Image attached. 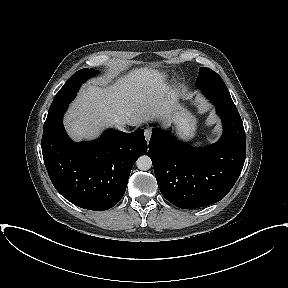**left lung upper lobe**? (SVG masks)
Wrapping results in <instances>:
<instances>
[{"label":"left lung upper lobe","instance_id":"1","mask_svg":"<svg viewBox=\"0 0 288 288\" xmlns=\"http://www.w3.org/2000/svg\"><path fill=\"white\" fill-rule=\"evenodd\" d=\"M196 84L202 89L208 99L235 105L222 78L211 69L201 67Z\"/></svg>","mask_w":288,"mask_h":288}]
</instances>
